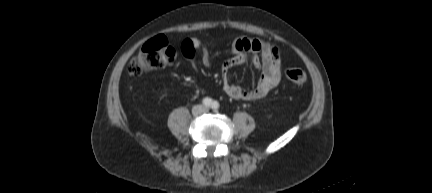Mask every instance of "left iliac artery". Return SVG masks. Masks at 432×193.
Here are the masks:
<instances>
[{"instance_id":"1","label":"left iliac artery","mask_w":432,"mask_h":193,"mask_svg":"<svg viewBox=\"0 0 432 193\" xmlns=\"http://www.w3.org/2000/svg\"><path fill=\"white\" fill-rule=\"evenodd\" d=\"M219 106H220L219 102L213 101L212 105H211V108L216 111V110H218Z\"/></svg>"}]
</instances>
